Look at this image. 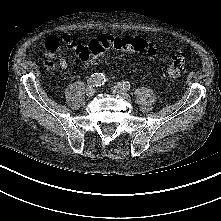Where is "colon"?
<instances>
[{
	"mask_svg": "<svg viewBox=\"0 0 221 221\" xmlns=\"http://www.w3.org/2000/svg\"><path fill=\"white\" fill-rule=\"evenodd\" d=\"M148 43L139 36H129L124 38H114L109 36H100L89 42L80 52V58L83 62H96L107 51H125L131 53L146 52ZM186 70V58L183 55H175L165 70V75L169 78H176L182 75Z\"/></svg>",
	"mask_w": 221,
	"mask_h": 221,
	"instance_id": "colon-1",
	"label": "colon"
}]
</instances>
